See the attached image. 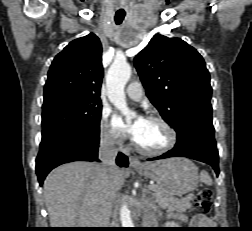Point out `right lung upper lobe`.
Returning <instances> with one entry per match:
<instances>
[{
    "label": "right lung upper lobe",
    "mask_w": 252,
    "mask_h": 231,
    "mask_svg": "<svg viewBox=\"0 0 252 231\" xmlns=\"http://www.w3.org/2000/svg\"><path fill=\"white\" fill-rule=\"evenodd\" d=\"M102 45L90 33L70 42L53 60L44 88V99L61 94L100 100L103 77Z\"/></svg>",
    "instance_id": "1"
}]
</instances>
